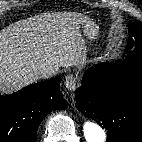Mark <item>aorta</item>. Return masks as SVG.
Returning <instances> with one entry per match:
<instances>
[{"label":"aorta","instance_id":"1","mask_svg":"<svg viewBox=\"0 0 142 142\" xmlns=\"http://www.w3.org/2000/svg\"><path fill=\"white\" fill-rule=\"evenodd\" d=\"M83 132L87 142H104L106 139L104 130L98 124L90 121L84 123Z\"/></svg>","mask_w":142,"mask_h":142}]
</instances>
